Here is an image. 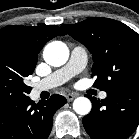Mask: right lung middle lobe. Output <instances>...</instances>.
<instances>
[{"label": "right lung middle lobe", "instance_id": "1", "mask_svg": "<svg viewBox=\"0 0 139 139\" xmlns=\"http://www.w3.org/2000/svg\"><path fill=\"white\" fill-rule=\"evenodd\" d=\"M34 69L35 65L22 55L0 49V101L28 97L31 87L25 84V78L32 74Z\"/></svg>", "mask_w": 139, "mask_h": 139}]
</instances>
